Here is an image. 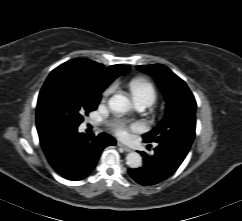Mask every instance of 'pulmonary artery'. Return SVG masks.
<instances>
[{
	"instance_id": "1",
	"label": "pulmonary artery",
	"mask_w": 242,
	"mask_h": 221,
	"mask_svg": "<svg viewBox=\"0 0 242 221\" xmlns=\"http://www.w3.org/2000/svg\"><path fill=\"white\" fill-rule=\"evenodd\" d=\"M135 102L138 110H144L145 108L150 106L147 102H144V101H135Z\"/></svg>"
}]
</instances>
